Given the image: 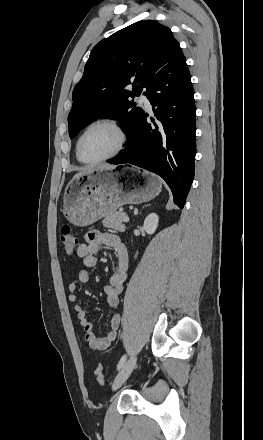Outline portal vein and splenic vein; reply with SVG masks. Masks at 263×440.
Instances as JSON below:
<instances>
[{
	"instance_id": "obj_1",
	"label": "portal vein and splenic vein",
	"mask_w": 263,
	"mask_h": 440,
	"mask_svg": "<svg viewBox=\"0 0 263 440\" xmlns=\"http://www.w3.org/2000/svg\"><path fill=\"white\" fill-rule=\"evenodd\" d=\"M123 222H126V223H127V222H129V217H128V216H126V215H125V216H123Z\"/></svg>"
}]
</instances>
